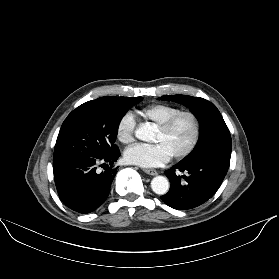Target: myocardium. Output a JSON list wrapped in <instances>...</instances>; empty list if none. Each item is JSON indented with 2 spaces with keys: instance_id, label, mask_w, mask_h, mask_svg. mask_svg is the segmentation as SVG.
Listing matches in <instances>:
<instances>
[{
  "instance_id": "obj_1",
  "label": "myocardium",
  "mask_w": 279,
  "mask_h": 279,
  "mask_svg": "<svg viewBox=\"0 0 279 279\" xmlns=\"http://www.w3.org/2000/svg\"><path fill=\"white\" fill-rule=\"evenodd\" d=\"M183 116H188L193 123V135L189 142V144L180 152H177L172 155L174 159H181L186 156H188L196 147L200 132H201V125L198 116L193 112L189 110H181L177 112L176 114L172 115L170 118H168L163 124L158 126V130L162 133H168L174 124L177 122L178 119H180Z\"/></svg>"
}]
</instances>
